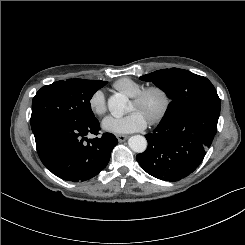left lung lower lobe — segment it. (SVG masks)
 <instances>
[{
    "label": "left lung lower lobe",
    "instance_id": "left-lung-lower-lobe-1",
    "mask_svg": "<svg viewBox=\"0 0 245 245\" xmlns=\"http://www.w3.org/2000/svg\"><path fill=\"white\" fill-rule=\"evenodd\" d=\"M218 112L195 110L176 121L159 124L145 135L148 147L138 154L140 166L155 178L175 182L202 162L217 131Z\"/></svg>",
    "mask_w": 245,
    "mask_h": 245
}]
</instances>
